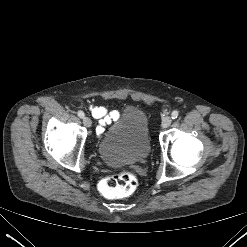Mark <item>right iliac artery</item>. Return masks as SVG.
Returning a JSON list of instances; mask_svg holds the SVG:
<instances>
[{
    "label": "right iliac artery",
    "mask_w": 247,
    "mask_h": 247,
    "mask_svg": "<svg viewBox=\"0 0 247 247\" xmlns=\"http://www.w3.org/2000/svg\"><path fill=\"white\" fill-rule=\"evenodd\" d=\"M78 116L80 117V118H83L84 117V112L83 111H78Z\"/></svg>",
    "instance_id": "82829eb1"
}]
</instances>
